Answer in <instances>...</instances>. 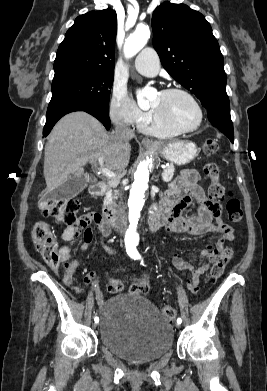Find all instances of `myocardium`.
I'll return each mask as SVG.
<instances>
[{
    "label": "myocardium",
    "mask_w": 267,
    "mask_h": 391,
    "mask_svg": "<svg viewBox=\"0 0 267 391\" xmlns=\"http://www.w3.org/2000/svg\"><path fill=\"white\" fill-rule=\"evenodd\" d=\"M160 94H162L164 96L171 95V94H181V95H184L185 97H187L194 104V106L198 112V121L194 127L181 128V127H178V126L164 120L158 114V112L156 110L152 109L151 112L153 115V119L158 125H160L164 128H167L171 131H174L177 134L190 133V132H194V131L198 130L199 128H201V126L203 125V122H204V111H203V108H202L200 102L197 100V98L191 92H189L186 89L179 88V87H169V88H165V89L161 90Z\"/></svg>",
    "instance_id": "myocardium-1"
}]
</instances>
